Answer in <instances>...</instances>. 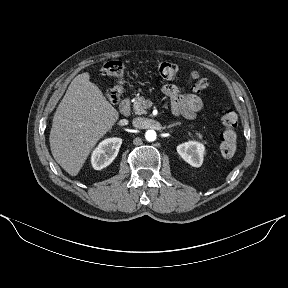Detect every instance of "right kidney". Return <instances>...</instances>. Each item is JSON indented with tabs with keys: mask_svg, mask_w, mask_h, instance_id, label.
Segmentation results:
<instances>
[{
	"mask_svg": "<svg viewBox=\"0 0 288 288\" xmlns=\"http://www.w3.org/2000/svg\"><path fill=\"white\" fill-rule=\"evenodd\" d=\"M122 144L120 138H108L99 143L91 156L92 167L101 170L107 167L117 156Z\"/></svg>",
	"mask_w": 288,
	"mask_h": 288,
	"instance_id": "ca27d5eb",
	"label": "right kidney"
}]
</instances>
